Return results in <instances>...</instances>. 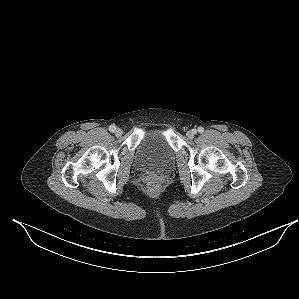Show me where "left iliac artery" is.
Listing matches in <instances>:
<instances>
[{"label":"left iliac artery","mask_w":299,"mask_h":299,"mask_svg":"<svg viewBox=\"0 0 299 299\" xmlns=\"http://www.w3.org/2000/svg\"><path fill=\"white\" fill-rule=\"evenodd\" d=\"M203 131H204V128H203V127H198V132H199V133H203Z\"/></svg>","instance_id":"44dca946"}]
</instances>
